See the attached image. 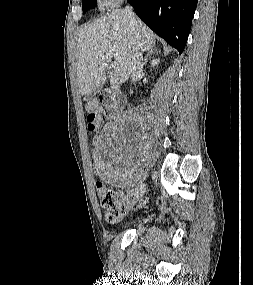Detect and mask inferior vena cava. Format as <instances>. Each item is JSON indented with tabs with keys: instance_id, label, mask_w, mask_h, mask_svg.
Here are the masks:
<instances>
[{
	"instance_id": "602c4592",
	"label": "inferior vena cava",
	"mask_w": 253,
	"mask_h": 285,
	"mask_svg": "<svg viewBox=\"0 0 253 285\" xmlns=\"http://www.w3.org/2000/svg\"><path fill=\"white\" fill-rule=\"evenodd\" d=\"M125 13L128 16L130 25L134 28L137 25V18L133 13V9L130 5H127L125 8ZM143 70V54L142 52L137 53L134 58L130 69V76L132 81H136L137 75L140 74Z\"/></svg>"
}]
</instances>
